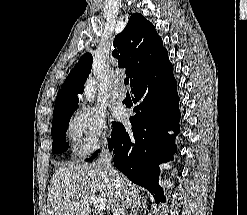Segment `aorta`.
<instances>
[{
	"mask_svg": "<svg viewBox=\"0 0 247 215\" xmlns=\"http://www.w3.org/2000/svg\"><path fill=\"white\" fill-rule=\"evenodd\" d=\"M95 84H96V81L93 78H89L87 82L85 83L83 94H84L85 99L89 102L94 100L95 91H96Z\"/></svg>",
	"mask_w": 247,
	"mask_h": 215,
	"instance_id": "1",
	"label": "aorta"
}]
</instances>
